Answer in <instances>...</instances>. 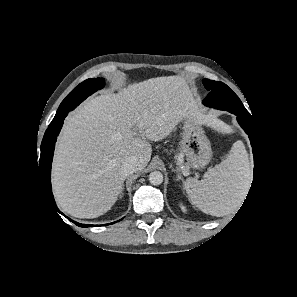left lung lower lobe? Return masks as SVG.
Segmentation results:
<instances>
[{
    "label": "left lung lower lobe",
    "mask_w": 297,
    "mask_h": 297,
    "mask_svg": "<svg viewBox=\"0 0 297 297\" xmlns=\"http://www.w3.org/2000/svg\"><path fill=\"white\" fill-rule=\"evenodd\" d=\"M237 115V114H235ZM253 118L248 117L244 118L241 115H237V120L240 126L244 129V131L249 135L251 145H252V150H253V155H254V171H256L257 166H258V140L256 139V133H255V127H254V122L252 120Z\"/></svg>",
    "instance_id": "left-lung-lower-lobe-1"
}]
</instances>
